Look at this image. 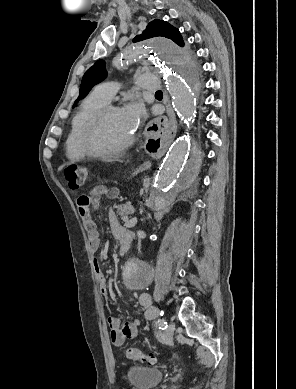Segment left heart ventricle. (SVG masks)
Here are the masks:
<instances>
[{"instance_id":"obj_1","label":"left heart ventricle","mask_w":296,"mask_h":389,"mask_svg":"<svg viewBox=\"0 0 296 389\" xmlns=\"http://www.w3.org/2000/svg\"><path fill=\"white\" fill-rule=\"evenodd\" d=\"M132 133L122 111L112 112L102 120L96 143L99 148L112 149L127 141Z\"/></svg>"}]
</instances>
